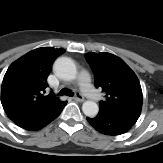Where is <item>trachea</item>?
Masks as SVG:
<instances>
[{
	"instance_id": "3493384b",
	"label": "trachea",
	"mask_w": 163,
	"mask_h": 163,
	"mask_svg": "<svg viewBox=\"0 0 163 163\" xmlns=\"http://www.w3.org/2000/svg\"><path fill=\"white\" fill-rule=\"evenodd\" d=\"M59 95H67V96H72L73 93L67 89H62L59 93Z\"/></svg>"
}]
</instances>
